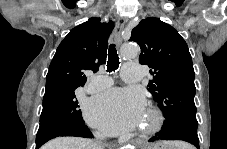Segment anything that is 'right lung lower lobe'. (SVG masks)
Listing matches in <instances>:
<instances>
[{"mask_svg":"<svg viewBox=\"0 0 227 149\" xmlns=\"http://www.w3.org/2000/svg\"><path fill=\"white\" fill-rule=\"evenodd\" d=\"M59 136L92 138L93 135L84 123H64L40 126L36 136V148Z\"/></svg>","mask_w":227,"mask_h":149,"instance_id":"1","label":"right lung lower lobe"}]
</instances>
